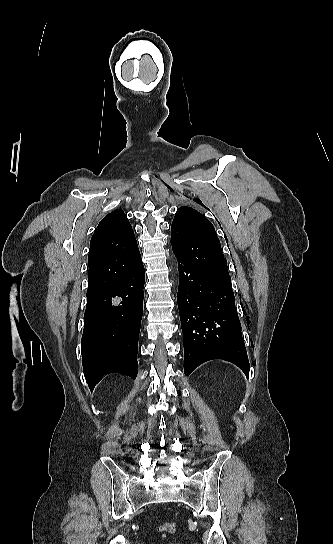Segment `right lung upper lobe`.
I'll use <instances>...</instances> for the list:
<instances>
[{
  "label": "right lung upper lobe",
  "mask_w": 333,
  "mask_h": 544,
  "mask_svg": "<svg viewBox=\"0 0 333 544\" xmlns=\"http://www.w3.org/2000/svg\"><path fill=\"white\" fill-rule=\"evenodd\" d=\"M140 263V252L127 216L119 209L109 213L91 238L87 296L112 287Z\"/></svg>",
  "instance_id": "1"
}]
</instances>
